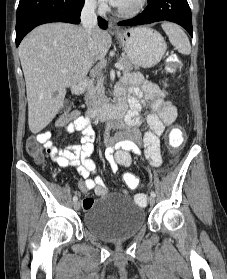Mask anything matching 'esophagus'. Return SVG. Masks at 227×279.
I'll return each instance as SVG.
<instances>
[{"label": "esophagus", "mask_w": 227, "mask_h": 279, "mask_svg": "<svg viewBox=\"0 0 227 279\" xmlns=\"http://www.w3.org/2000/svg\"><path fill=\"white\" fill-rule=\"evenodd\" d=\"M109 29L111 32H118L119 28L113 23V22H109Z\"/></svg>", "instance_id": "obj_1"}]
</instances>
